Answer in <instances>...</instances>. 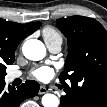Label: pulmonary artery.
Listing matches in <instances>:
<instances>
[{"label": "pulmonary artery", "instance_id": "pulmonary-artery-1", "mask_svg": "<svg viewBox=\"0 0 107 107\" xmlns=\"http://www.w3.org/2000/svg\"><path fill=\"white\" fill-rule=\"evenodd\" d=\"M61 45H62L61 41H54L52 43L47 44V47L51 52L58 53L61 50ZM20 76H21L20 71H11L7 75V80L13 81L14 79L19 78Z\"/></svg>", "mask_w": 107, "mask_h": 107}]
</instances>
